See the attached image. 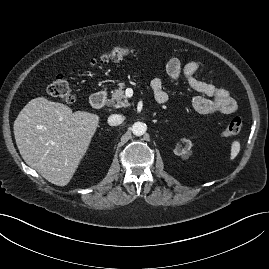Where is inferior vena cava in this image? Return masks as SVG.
<instances>
[{
    "instance_id": "inferior-vena-cava-1",
    "label": "inferior vena cava",
    "mask_w": 269,
    "mask_h": 269,
    "mask_svg": "<svg viewBox=\"0 0 269 269\" xmlns=\"http://www.w3.org/2000/svg\"><path fill=\"white\" fill-rule=\"evenodd\" d=\"M125 117L119 114H113L108 117V124L110 126L120 125L124 121Z\"/></svg>"
}]
</instances>
